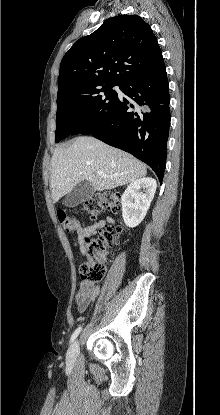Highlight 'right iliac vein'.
Listing matches in <instances>:
<instances>
[{
	"mask_svg": "<svg viewBox=\"0 0 220 415\" xmlns=\"http://www.w3.org/2000/svg\"><path fill=\"white\" fill-rule=\"evenodd\" d=\"M79 350V340L76 339L70 346L67 352V362L72 363L76 357V354Z\"/></svg>",
	"mask_w": 220,
	"mask_h": 415,
	"instance_id": "right-iliac-vein-1",
	"label": "right iliac vein"
}]
</instances>
